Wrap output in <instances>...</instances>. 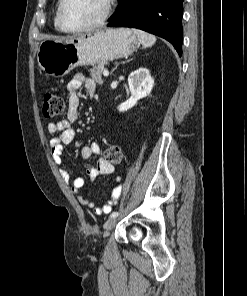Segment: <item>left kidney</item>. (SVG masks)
<instances>
[{"label":"left kidney","mask_w":247,"mask_h":296,"mask_svg":"<svg viewBox=\"0 0 247 296\" xmlns=\"http://www.w3.org/2000/svg\"><path fill=\"white\" fill-rule=\"evenodd\" d=\"M128 84L132 96L130 99L118 106V110L120 112L127 111L135 106L139 99L148 96L152 91L154 79L148 69L139 68L129 75Z\"/></svg>","instance_id":"1"}]
</instances>
